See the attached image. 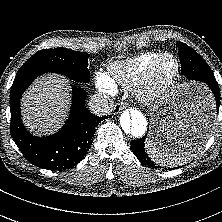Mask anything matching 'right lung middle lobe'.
Wrapping results in <instances>:
<instances>
[{
    "mask_svg": "<svg viewBox=\"0 0 222 222\" xmlns=\"http://www.w3.org/2000/svg\"><path fill=\"white\" fill-rule=\"evenodd\" d=\"M88 58L87 53L66 48L43 49L30 57L18 72H53L87 83L90 79Z\"/></svg>",
    "mask_w": 222,
    "mask_h": 222,
    "instance_id": "1",
    "label": "right lung middle lobe"
}]
</instances>
